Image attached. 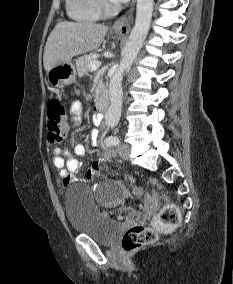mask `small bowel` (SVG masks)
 Returning <instances> with one entry per match:
<instances>
[{"label":"small bowel","instance_id":"obj_1","mask_svg":"<svg viewBox=\"0 0 233 284\" xmlns=\"http://www.w3.org/2000/svg\"><path fill=\"white\" fill-rule=\"evenodd\" d=\"M81 111V105L79 102H74L71 106V114L73 116V121L75 123L79 120V115ZM102 114H96L94 117V122L100 124L102 122ZM95 136V133H92ZM81 134H76V138L80 139ZM53 164L59 172V176L63 181L65 186L70 185L72 182L76 181V173L80 169V162L70 156V153L66 149H61L55 147L53 149ZM74 153L77 156H83L86 153V148L83 144L78 143L74 146ZM104 175L103 163L102 161L94 162L86 173V178L88 180H93Z\"/></svg>","mask_w":233,"mask_h":284}]
</instances>
